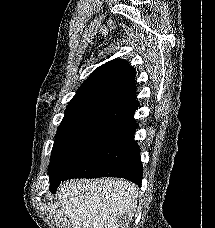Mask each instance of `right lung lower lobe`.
<instances>
[{
	"mask_svg": "<svg viewBox=\"0 0 215 228\" xmlns=\"http://www.w3.org/2000/svg\"><path fill=\"white\" fill-rule=\"evenodd\" d=\"M136 128V123L130 125L70 170L61 181L73 178L118 177L141 186L143 168L140 149L134 141ZM60 182L51 190L52 193H56Z\"/></svg>",
	"mask_w": 215,
	"mask_h": 228,
	"instance_id": "obj_1",
	"label": "right lung lower lobe"
}]
</instances>
